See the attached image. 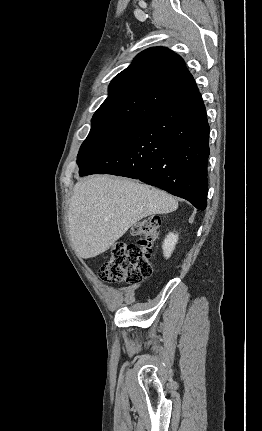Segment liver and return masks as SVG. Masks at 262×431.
Returning a JSON list of instances; mask_svg holds the SVG:
<instances>
[{
    "mask_svg": "<svg viewBox=\"0 0 262 431\" xmlns=\"http://www.w3.org/2000/svg\"><path fill=\"white\" fill-rule=\"evenodd\" d=\"M177 208L170 194L127 178L97 175L81 180L69 201L73 250L81 258L96 257L142 218Z\"/></svg>",
    "mask_w": 262,
    "mask_h": 431,
    "instance_id": "6515ba94",
    "label": "liver"
}]
</instances>
